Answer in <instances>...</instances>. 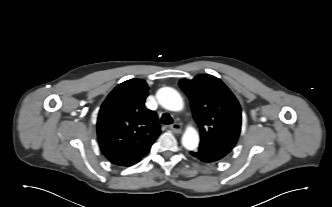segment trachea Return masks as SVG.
I'll return each mask as SVG.
<instances>
[{
  "mask_svg": "<svg viewBox=\"0 0 332 207\" xmlns=\"http://www.w3.org/2000/svg\"><path fill=\"white\" fill-rule=\"evenodd\" d=\"M161 123L165 125H169L173 123V119L168 113H164L161 117Z\"/></svg>",
  "mask_w": 332,
  "mask_h": 207,
  "instance_id": "1",
  "label": "trachea"
}]
</instances>
